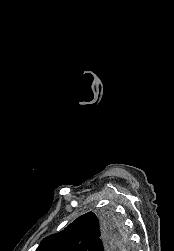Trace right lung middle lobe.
<instances>
[{"instance_id": "obj_1", "label": "right lung middle lobe", "mask_w": 174, "mask_h": 251, "mask_svg": "<svg viewBox=\"0 0 174 251\" xmlns=\"http://www.w3.org/2000/svg\"><path fill=\"white\" fill-rule=\"evenodd\" d=\"M104 218L107 219L108 221H111L112 223L117 224L116 219L112 215H110V214L105 215ZM120 232H121V235H123V233H122L121 230H120ZM125 240L126 239H124V242H123V245H122L123 247L126 246V244H127Z\"/></svg>"}]
</instances>
